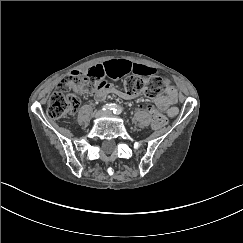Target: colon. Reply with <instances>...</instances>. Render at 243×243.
<instances>
[{"instance_id": "5ec220e1", "label": "colon", "mask_w": 243, "mask_h": 243, "mask_svg": "<svg viewBox=\"0 0 243 243\" xmlns=\"http://www.w3.org/2000/svg\"><path fill=\"white\" fill-rule=\"evenodd\" d=\"M101 78L90 73L73 72L62 79L60 87L63 90L55 91L49 99L48 117L57 120L74 114L79 106L78 95L97 91L106 84V82L100 81ZM124 93L127 95L144 94L149 98H157L163 94L173 95L175 89L160 77L131 76L124 81ZM147 109L152 114L154 129L163 128L168 124V119L153 107L149 106Z\"/></svg>"}]
</instances>
